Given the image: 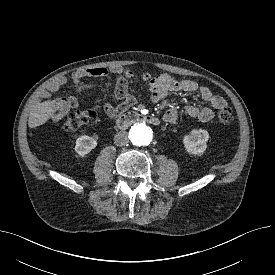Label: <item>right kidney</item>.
Here are the masks:
<instances>
[{"mask_svg":"<svg viewBox=\"0 0 275 275\" xmlns=\"http://www.w3.org/2000/svg\"><path fill=\"white\" fill-rule=\"evenodd\" d=\"M75 143V151L80 156H84L90 153L91 150H93L97 146V141L94 138L89 137L87 135L79 137Z\"/></svg>","mask_w":275,"mask_h":275,"instance_id":"1","label":"right kidney"}]
</instances>
